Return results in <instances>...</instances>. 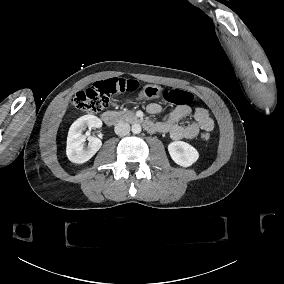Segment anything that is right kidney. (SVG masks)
Returning a JSON list of instances; mask_svg holds the SVG:
<instances>
[{
    "label": "right kidney",
    "instance_id": "right-kidney-1",
    "mask_svg": "<svg viewBox=\"0 0 284 284\" xmlns=\"http://www.w3.org/2000/svg\"><path fill=\"white\" fill-rule=\"evenodd\" d=\"M101 125L100 119L90 115L83 116L72 124L67 138V157L72 163L84 164L99 151L103 144L102 140L95 138L85 147L84 131L87 127L92 130Z\"/></svg>",
    "mask_w": 284,
    "mask_h": 284
}]
</instances>
